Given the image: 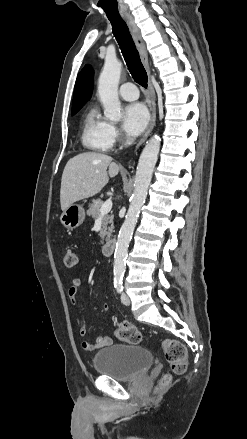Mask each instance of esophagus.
<instances>
[{
    "label": "esophagus",
    "instance_id": "1",
    "mask_svg": "<svg viewBox=\"0 0 247 439\" xmlns=\"http://www.w3.org/2000/svg\"><path fill=\"white\" fill-rule=\"evenodd\" d=\"M124 20L126 21L130 32L132 34L133 40L135 42L136 48L138 50L141 62L148 74V89H149V94L152 100V116H151V120L149 123V126L146 130V132L144 133V135L142 136V138L139 140V142L136 145L135 151L144 143V141L147 139V137L150 135V133L152 132L155 123H156V117H157V112H156V104H155V92H154V88L152 85V81H151V75H150V68H149V63H148V54L146 51V47H145V43L142 39L140 30L133 18L132 15H125L124 16Z\"/></svg>",
    "mask_w": 247,
    "mask_h": 439
}]
</instances>
